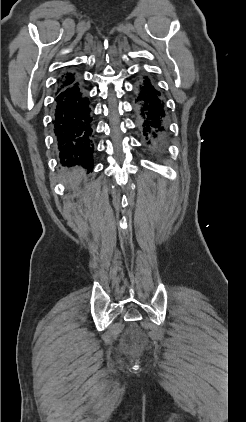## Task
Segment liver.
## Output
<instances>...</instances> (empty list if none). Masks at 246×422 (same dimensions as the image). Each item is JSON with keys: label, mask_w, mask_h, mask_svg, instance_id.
Masks as SVG:
<instances>
[{"label": "liver", "mask_w": 246, "mask_h": 422, "mask_svg": "<svg viewBox=\"0 0 246 422\" xmlns=\"http://www.w3.org/2000/svg\"><path fill=\"white\" fill-rule=\"evenodd\" d=\"M84 175V170L80 167L74 168L71 172H68L65 182L74 189L79 185L82 176Z\"/></svg>", "instance_id": "1"}]
</instances>
